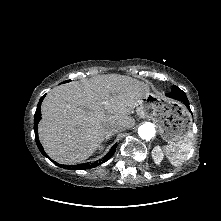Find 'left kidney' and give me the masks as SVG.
<instances>
[{
	"instance_id": "obj_1",
	"label": "left kidney",
	"mask_w": 221,
	"mask_h": 221,
	"mask_svg": "<svg viewBox=\"0 0 221 221\" xmlns=\"http://www.w3.org/2000/svg\"><path fill=\"white\" fill-rule=\"evenodd\" d=\"M152 157L154 159V162L159 165L161 161L163 160V152L160 146H156L152 150Z\"/></svg>"
}]
</instances>
